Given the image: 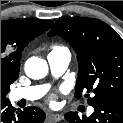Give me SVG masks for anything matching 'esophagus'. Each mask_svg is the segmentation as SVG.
Returning <instances> with one entry per match:
<instances>
[{"label":"esophagus","instance_id":"1","mask_svg":"<svg viewBox=\"0 0 123 123\" xmlns=\"http://www.w3.org/2000/svg\"><path fill=\"white\" fill-rule=\"evenodd\" d=\"M48 118L52 119L55 122H59V121L63 120L64 117L62 114H49Z\"/></svg>","mask_w":123,"mask_h":123}]
</instances>
